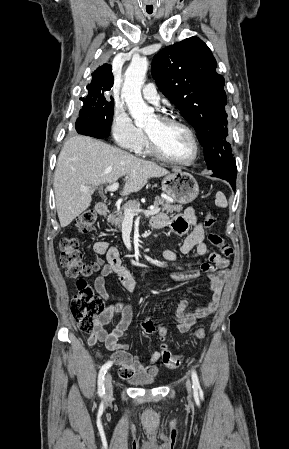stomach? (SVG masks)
<instances>
[{
	"mask_svg": "<svg viewBox=\"0 0 289 449\" xmlns=\"http://www.w3.org/2000/svg\"><path fill=\"white\" fill-rule=\"evenodd\" d=\"M162 191L174 201L188 204L198 196L199 186L191 174L173 171L163 178Z\"/></svg>",
	"mask_w": 289,
	"mask_h": 449,
	"instance_id": "1",
	"label": "stomach"
}]
</instances>
